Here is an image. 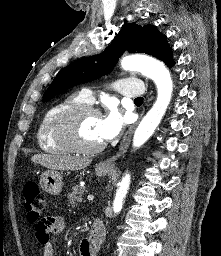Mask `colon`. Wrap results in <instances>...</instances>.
<instances>
[{"label":"colon","mask_w":221,"mask_h":256,"mask_svg":"<svg viewBox=\"0 0 221 256\" xmlns=\"http://www.w3.org/2000/svg\"><path fill=\"white\" fill-rule=\"evenodd\" d=\"M25 210L31 223L41 225V215L46 207V198L35 181H28L23 190Z\"/></svg>","instance_id":"colon-1"}]
</instances>
